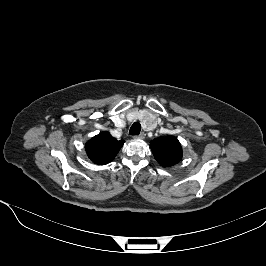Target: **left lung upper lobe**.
Wrapping results in <instances>:
<instances>
[{
	"instance_id": "left-lung-upper-lobe-1",
	"label": "left lung upper lobe",
	"mask_w": 266,
	"mask_h": 266,
	"mask_svg": "<svg viewBox=\"0 0 266 266\" xmlns=\"http://www.w3.org/2000/svg\"><path fill=\"white\" fill-rule=\"evenodd\" d=\"M150 147L155 159L163 167L173 166L182 158L181 144L175 137L155 138Z\"/></svg>"
}]
</instances>
